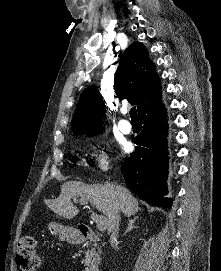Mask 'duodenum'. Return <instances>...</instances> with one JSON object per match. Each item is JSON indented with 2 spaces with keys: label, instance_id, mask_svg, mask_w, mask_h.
<instances>
[{
  "label": "duodenum",
  "instance_id": "duodenum-1",
  "mask_svg": "<svg viewBox=\"0 0 221 271\" xmlns=\"http://www.w3.org/2000/svg\"><path fill=\"white\" fill-rule=\"evenodd\" d=\"M97 240V235L91 230H81L78 236L72 239L74 243L96 242ZM87 271H99V269L97 267H91Z\"/></svg>",
  "mask_w": 221,
  "mask_h": 271
}]
</instances>
